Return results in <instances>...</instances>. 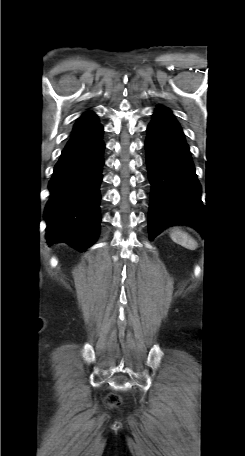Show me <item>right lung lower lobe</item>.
Instances as JSON below:
<instances>
[{
    "instance_id": "1",
    "label": "right lung lower lobe",
    "mask_w": 245,
    "mask_h": 456,
    "mask_svg": "<svg viewBox=\"0 0 245 456\" xmlns=\"http://www.w3.org/2000/svg\"><path fill=\"white\" fill-rule=\"evenodd\" d=\"M103 127L90 142L65 147L49 182L51 197L44 216L47 243L64 242L85 251L100 231Z\"/></svg>"
}]
</instances>
